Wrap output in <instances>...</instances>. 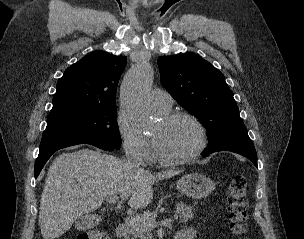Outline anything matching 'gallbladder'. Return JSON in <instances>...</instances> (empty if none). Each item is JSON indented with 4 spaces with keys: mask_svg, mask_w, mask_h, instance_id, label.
<instances>
[{
    "mask_svg": "<svg viewBox=\"0 0 304 239\" xmlns=\"http://www.w3.org/2000/svg\"><path fill=\"white\" fill-rule=\"evenodd\" d=\"M94 215L88 214L82 217H79L75 221V228L77 230H88L96 225L94 222Z\"/></svg>",
    "mask_w": 304,
    "mask_h": 239,
    "instance_id": "bac80fb5",
    "label": "gallbladder"
}]
</instances>
